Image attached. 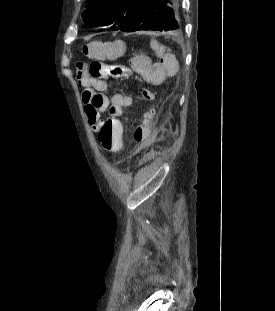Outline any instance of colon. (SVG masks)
Segmentation results:
<instances>
[{
	"label": "colon",
	"mask_w": 275,
	"mask_h": 311,
	"mask_svg": "<svg viewBox=\"0 0 275 311\" xmlns=\"http://www.w3.org/2000/svg\"><path fill=\"white\" fill-rule=\"evenodd\" d=\"M103 47L104 44L102 42H90L82 46L83 54L92 59L88 66L89 74L94 78L124 76L125 71L121 65L105 63L101 60L105 54L103 52ZM165 55L173 56L170 54ZM77 67L79 70H82L84 64L79 62ZM142 97L146 100H152L153 94L144 90L142 92ZM125 124V118H104L102 125L97 131V138L102 148L108 153L115 154L122 148L123 138L119 130H122Z\"/></svg>",
	"instance_id": "obj_1"
}]
</instances>
